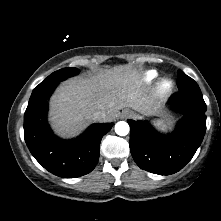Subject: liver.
<instances>
[{
    "label": "liver",
    "instance_id": "1",
    "mask_svg": "<svg viewBox=\"0 0 221 221\" xmlns=\"http://www.w3.org/2000/svg\"><path fill=\"white\" fill-rule=\"evenodd\" d=\"M153 100L147 96L139 73L130 66H116L89 78L76 77L62 83L50 100L49 120L63 138L78 135L103 111L114 120L123 108L149 112Z\"/></svg>",
    "mask_w": 221,
    "mask_h": 221
}]
</instances>
